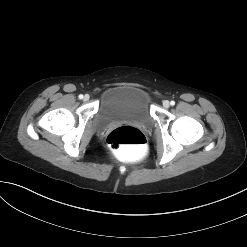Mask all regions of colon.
Wrapping results in <instances>:
<instances>
[{"label": "colon", "mask_w": 247, "mask_h": 247, "mask_svg": "<svg viewBox=\"0 0 247 247\" xmlns=\"http://www.w3.org/2000/svg\"><path fill=\"white\" fill-rule=\"evenodd\" d=\"M145 143L144 134L139 129L130 126L116 128L107 136L109 148L119 154H128L138 150Z\"/></svg>", "instance_id": "obj_1"}]
</instances>
